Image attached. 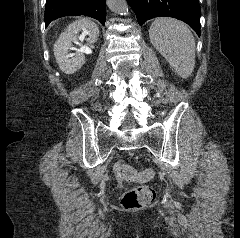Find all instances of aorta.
<instances>
[{"label": "aorta", "instance_id": "1", "mask_svg": "<svg viewBox=\"0 0 240 238\" xmlns=\"http://www.w3.org/2000/svg\"><path fill=\"white\" fill-rule=\"evenodd\" d=\"M107 5L111 11L125 15L128 13V4L126 0H107Z\"/></svg>", "mask_w": 240, "mask_h": 238}]
</instances>
